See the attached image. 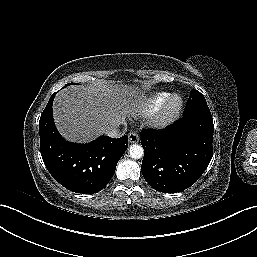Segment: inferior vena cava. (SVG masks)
<instances>
[{
  "label": "inferior vena cava",
  "mask_w": 257,
  "mask_h": 257,
  "mask_svg": "<svg viewBox=\"0 0 257 257\" xmlns=\"http://www.w3.org/2000/svg\"><path fill=\"white\" fill-rule=\"evenodd\" d=\"M105 134L112 138H118L121 136V134L117 131V127L110 128L105 131Z\"/></svg>",
  "instance_id": "obj_1"
}]
</instances>
